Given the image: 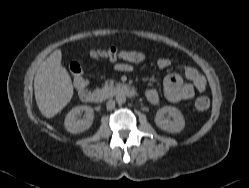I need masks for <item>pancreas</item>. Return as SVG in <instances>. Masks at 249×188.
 I'll use <instances>...</instances> for the list:
<instances>
[{"mask_svg": "<svg viewBox=\"0 0 249 188\" xmlns=\"http://www.w3.org/2000/svg\"><path fill=\"white\" fill-rule=\"evenodd\" d=\"M113 87H114L113 80H107L104 84V89H113Z\"/></svg>", "mask_w": 249, "mask_h": 188, "instance_id": "pancreas-1", "label": "pancreas"}]
</instances>
